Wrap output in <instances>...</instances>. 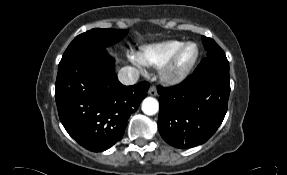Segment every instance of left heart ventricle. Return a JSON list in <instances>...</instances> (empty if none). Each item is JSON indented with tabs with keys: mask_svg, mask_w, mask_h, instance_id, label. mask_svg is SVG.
I'll return each mask as SVG.
<instances>
[{
	"mask_svg": "<svg viewBox=\"0 0 287 175\" xmlns=\"http://www.w3.org/2000/svg\"><path fill=\"white\" fill-rule=\"evenodd\" d=\"M194 53H195L194 46H189L188 48H186L180 55L178 65L180 67L186 66L192 60Z\"/></svg>",
	"mask_w": 287,
	"mask_h": 175,
	"instance_id": "b2bd125f",
	"label": "left heart ventricle"
}]
</instances>
